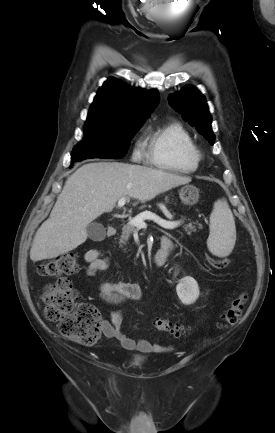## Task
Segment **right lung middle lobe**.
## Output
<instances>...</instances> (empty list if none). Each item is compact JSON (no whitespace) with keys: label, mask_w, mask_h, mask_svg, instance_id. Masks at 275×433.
Segmentation results:
<instances>
[{"label":"right lung middle lobe","mask_w":275,"mask_h":433,"mask_svg":"<svg viewBox=\"0 0 275 433\" xmlns=\"http://www.w3.org/2000/svg\"><path fill=\"white\" fill-rule=\"evenodd\" d=\"M144 122L103 124L86 122L85 137L72 151L71 166L90 158H122L128 151L129 142Z\"/></svg>","instance_id":"1"}]
</instances>
